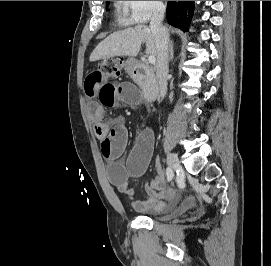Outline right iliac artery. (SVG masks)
<instances>
[{"instance_id":"1","label":"right iliac artery","mask_w":271,"mask_h":266,"mask_svg":"<svg viewBox=\"0 0 271 266\" xmlns=\"http://www.w3.org/2000/svg\"><path fill=\"white\" fill-rule=\"evenodd\" d=\"M166 175L168 181H171L173 179L174 174L171 168H166Z\"/></svg>"}]
</instances>
